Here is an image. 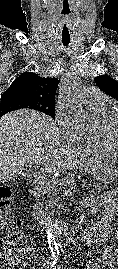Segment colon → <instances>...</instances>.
I'll return each mask as SVG.
<instances>
[{
  "label": "colon",
  "mask_w": 118,
  "mask_h": 269,
  "mask_svg": "<svg viewBox=\"0 0 118 269\" xmlns=\"http://www.w3.org/2000/svg\"><path fill=\"white\" fill-rule=\"evenodd\" d=\"M12 191L0 185V218L6 219V237L0 252V269H21L30 258V240L22 233L21 221L11 212Z\"/></svg>",
  "instance_id": "obj_1"
}]
</instances>
